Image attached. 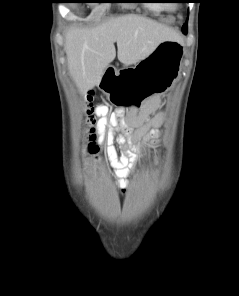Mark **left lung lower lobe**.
<instances>
[{
	"label": "left lung lower lobe",
	"mask_w": 239,
	"mask_h": 296,
	"mask_svg": "<svg viewBox=\"0 0 239 296\" xmlns=\"http://www.w3.org/2000/svg\"><path fill=\"white\" fill-rule=\"evenodd\" d=\"M182 32H183L184 34H186V33H187V30H185V29H182Z\"/></svg>",
	"instance_id": "obj_1"
}]
</instances>
